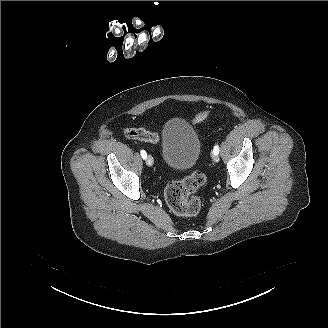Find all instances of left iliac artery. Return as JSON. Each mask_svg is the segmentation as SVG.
<instances>
[{
  "mask_svg": "<svg viewBox=\"0 0 328 328\" xmlns=\"http://www.w3.org/2000/svg\"><path fill=\"white\" fill-rule=\"evenodd\" d=\"M213 152H214L216 155L219 154V146H218V145H216V146L214 147Z\"/></svg>",
  "mask_w": 328,
  "mask_h": 328,
  "instance_id": "obj_1",
  "label": "left iliac artery"
}]
</instances>
